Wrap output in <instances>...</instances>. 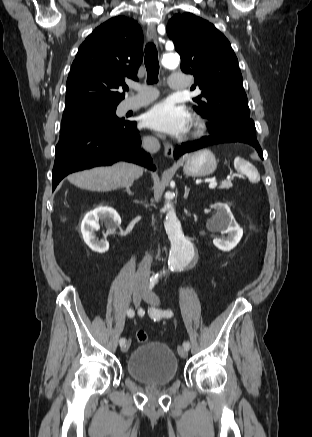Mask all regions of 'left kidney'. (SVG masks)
Wrapping results in <instances>:
<instances>
[{"instance_id": "left-kidney-1", "label": "left kidney", "mask_w": 312, "mask_h": 437, "mask_svg": "<svg viewBox=\"0 0 312 437\" xmlns=\"http://www.w3.org/2000/svg\"><path fill=\"white\" fill-rule=\"evenodd\" d=\"M216 214L208 220L207 226L213 232H221V238L216 237L213 244L222 251H230L237 246L243 236V229L235 221V218L227 204L216 203Z\"/></svg>"}]
</instances>
